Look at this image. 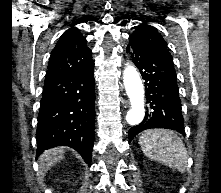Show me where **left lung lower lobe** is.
<instances>
[{"label": "left lung lower lobe", "mask_w": 221, "mask_h": 193, "mask_svg": "<svg viewBox=\"0 0 221 193\" xmlns=\"http://www.w3.org/2000/svg\"><path fill=\"white\" fill-rule=\"evenodd\" d=\"M132 62L145 79L147 97L144 120L129 130V143L143 130L149 128L172 129L184 132L179 87L173 61L158 57L130 44ZM130 47L127 48L129 52Z\"/></svg>", "instance_id": "1"}]
</instances>
